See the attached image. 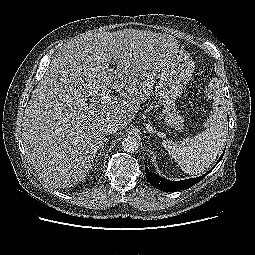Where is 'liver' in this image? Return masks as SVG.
<instances>
[{
	"mask_svg": "<svg viewBox=\"0 0 255 255\" xmlns=\"http://www.w3.org/2000/svg\"><path fill=\"white\" fill-rule=\"evenodd\" d=\"M178 50L172 35L135 29L88 32L64 45L32 92L22 122L28 159L42 181L54 188L83 181L106 124L113 120L123 129L131 123ZM111 90L120 97L103 104Z\"/></svg>",
	"mask_w": 255,
	"mask_h": 255,
	"instance_id": "1",
	"label": "liver"
}]
</instances>
